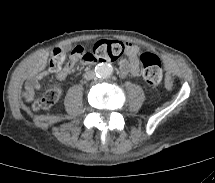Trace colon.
<instances>
[{"instance_id":"1","label":"colon","mask_w":215,"mask_h":183,"mask_svg":"<svg viewBox=\"0 0 215 183\" xmlns=\"http://www.w3.org/2000/svg\"><path fill=\"white\" fill-rule=\"evenodd\" d=\"M126 45L120 41L99 40L94 43L90 51L83 47H75L70 57L78 62H114L125 51ZM69 57V59H70ZM68 59V61H69ZM67 60L65 50L61 47L53 49L49 60V69L52 72H58L62 69ZM140 60L143 65V77L150 85H158L162 80L161 62L157 55L151 52L140 54ZM61 88L54 86L48 89L42 97L35 100L32 107L35 111H44L50 109L60 98Z\"/></svg>"}]
</instances>
